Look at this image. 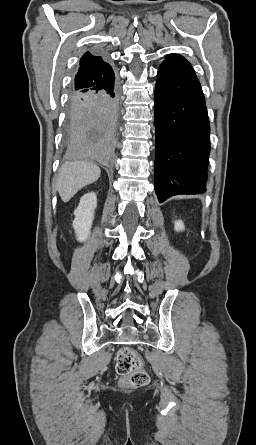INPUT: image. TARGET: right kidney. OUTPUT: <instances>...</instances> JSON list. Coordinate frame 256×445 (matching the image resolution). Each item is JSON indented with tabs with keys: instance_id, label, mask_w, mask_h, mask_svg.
Returning a JSON list of instances; mask_svg holds the SVG:
<instances>
[{
	"instance_id": "right-kidney-1",
	"label": "right kidney",
	"mask_w": 256,
	"mask_h": 445,
	"mask_svg": "<svg viewBox=\"0 0 256 445\" xmlns=\"http://www.w3.org/2000/svg\"><path fill=\"white\" fill-rule=\"evenodd\" d=\"M96 206V194L90 192L82 196L78 207L74 211L73 228L75 229L76 238L80 242L86 241L90 235Z\"/></svg>"
}]
</instances>
